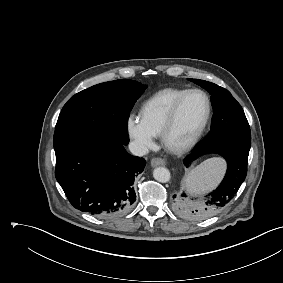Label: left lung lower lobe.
Returning a JSON list of instances; mask_svg holds the SVG:
<instances>
[{"label":"left lung lower lobe","instance_id":"obj_1","mask_svg":"<svg viewBox=\"0 0 283 283\" xmlns=\"http://www.w3.org/2000/svg\"><path fill=\"white\" fill-rule=\"evenodd\" d=\"M209 153L218 154L226 160L228 165L226 175L217 189L208 194L207 198L200 203H191L184 199L176 203L177 211L186 218L205 219L218 213L229 203L245 180L249 150L235 147L209 148L198 145L192 154L185 158L184 164L188 167L192 160ZM183 197L186 195L183 194Z\"/></svg>","mask_w":283,"mask_h":283}]
</instances>
